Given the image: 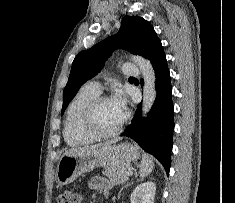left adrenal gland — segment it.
<instances>
[{"instance_id":"left-adrenal-gland-1","label":"left adrenal gland","mask_w":235,"mask_h":203,"mask_svg":"<svg viewBox=\"0 0 235 203\" xmlns=\"http://www.w3.org/2000/svg\"><path fill=\"white\" fill-rule=\"evenodd\" d=\"M135 177H137V173H135ZM131 184H133V179L131 180V182L127 183L125 186H123V187L120 189V191H119V193H118V199H120L122 190H123L124 188L130 186Z\"/></svg>"}]
</instances>
